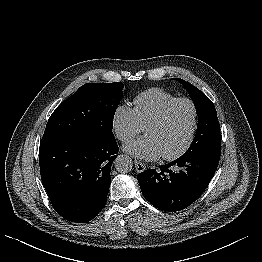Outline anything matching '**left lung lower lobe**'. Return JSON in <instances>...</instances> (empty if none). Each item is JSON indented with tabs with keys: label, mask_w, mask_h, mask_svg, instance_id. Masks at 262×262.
<instances>
[{
	"label": "left lung lower lobe",
	"mask_w": 262,
	"mask_h": 262,
	"mask_svg": "<svg viewBox=\"0 0 262 262\" xmlns=\"http://www.w3.org/2000/svg\"><path fill=\"white\" fill-rule=\"evenodd\" d=\"M221 152L183 154L178 159L138 174L144 197L163 211H179L195 202L212 179Z\"/></svg>",
	"instance_id": "0a47b994"
}]
</instances>
